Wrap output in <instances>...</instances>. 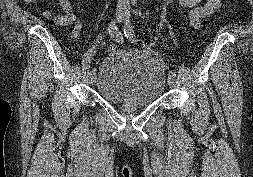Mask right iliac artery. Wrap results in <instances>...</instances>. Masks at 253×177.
<instances>
[{
	"label": "right iliac artery",
	"mask_w": 253,
	"mask_h": 177,
	"mask_svg": "<svg viewBox=\"0 0 253 177\" xmlns=\"http://www.w3.org/2000/svg\"><path fill=\"white\" fill-rule=\"evenodd\" d=\"M109 34L113 40H115L118 43H123V36L122 33L119 31L117 25L115 24V21L111 22L109 24ZM94 71H90L89 75L93 74Z\"/></svg>",
	"instance_id": "1"
}]
</instances>
